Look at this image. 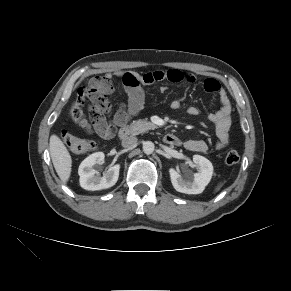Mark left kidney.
Segmentation results:
<instances>
[{"instance_id": "5707ae66", "label": "left kidney", "mask_w": 291, "mask_h": 291, "mask_svg": "<svg viewBox=\"0 0 291 291\" xmlns=\"http://www.w3.org/2000/svg\"><path fill=\"white\" fill-rule=\"evenodd\" d=\"M193 162L199 170L192 176H182L175 169L169 170L171 183L174 189L185 194H200L212 178V163L201 155H194Z\"/></svg>"}]
</instances>
